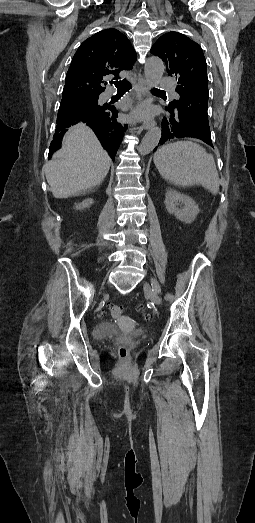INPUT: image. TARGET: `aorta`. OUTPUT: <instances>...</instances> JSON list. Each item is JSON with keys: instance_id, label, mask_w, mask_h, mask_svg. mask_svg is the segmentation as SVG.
Masks as SVG:
<instances>
[{"instance_id": "762f6f07", "label": "aorta", "mask_w": 255, "mask_h": 523, "mask_svg": "<svg viewBox=\"0 0 255 523\" xmlns=\"http://www.w3.org/2000/svg\"><path fill=\"white\" fill-rule=\"evenodd\" d=\"M165 70L164 62L158 57H150L145 64V77L151 87H157L160 84ZM161 138V128H151L143 137L139 153L147 155L158 145Z\"/></svg>"}]
</instances>
